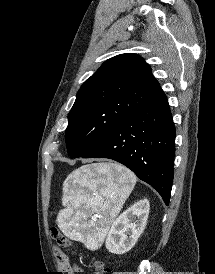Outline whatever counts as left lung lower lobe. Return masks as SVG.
I'll list each match as a JSON object with an SVG mask.
<instances>
[{
    "label": "left lung lower lobe",
    "instance_id": "0a47b994",
    "mask_svg": "<svg viewBox=\"0 0 215 274\" xmlns=\"http://www.w3.org/2000/svg\"><path fill=\"white\" fill-rule=\"evenodd\" d=\"M175 127L168 101L159 98L121 121L83 158H109L131 169L169 204Z\"/></svg>",
    "mask_w": 215,
    "mask_h": 274
}]
</instances>
